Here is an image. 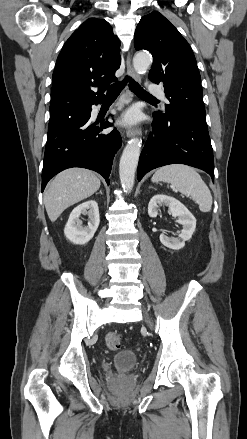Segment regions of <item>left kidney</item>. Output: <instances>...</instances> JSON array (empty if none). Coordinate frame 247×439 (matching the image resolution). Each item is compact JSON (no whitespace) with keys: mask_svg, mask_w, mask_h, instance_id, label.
Here are the masks:
<instances>
[{"mask_svg":"<svg viewBox=\"0 0 247 439\" xmlns=\"http://www.w3.org/2000/svg\"><path fill=\"white\" fill-rule=\"evenodd\" d=\"M168 206L169 211L173 217L177 218V222L182 225L183 229L178 238L161 234L160 242L173 250H179L185 246V241L190 240L195 228L196 219L193 214L177 199L164 194L154 195L148 204V214L151 218H155L158 215L159 206Z\"/></svg>","mask_w":247,"mask_h":439,"instance_id":"1","label":"left kidney"}]
</instances>
